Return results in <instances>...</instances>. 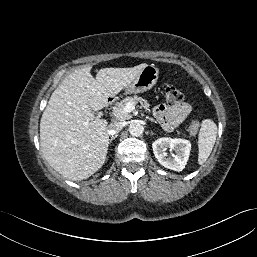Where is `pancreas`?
Wrapping results in <instances>:
<instances>
[{"label": "pancreas", "mask_w": 257, "mask_h": 257, "mask_svg": "<svg viewBox=\"0 0 257 257\" xmlns=\"http://www.w3.org/2000/svg\"><path fill=\"white\" fill-rule=\"evenodd\" d=\"M129 102L134 104H137L139 102L146 110H149V103L147 102V100L143 99L142 97H138V96L126 97L121 102L117 103L113 108V114L118 120L123 121L131 117L129 113L124 112V107Z\"/></svg>", "instance_id": "1"}]
</instances>
